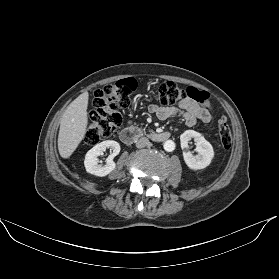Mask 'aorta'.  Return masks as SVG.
<instances>
[{"label": "aorta", "mask_w": 279, "mask_h": 279, "mask_svg": "<svg viewBox=\"0 0 279 279\" xmlns=\"http://www.w3.org/2000/svg\"><path fill=\"white\" fill-rule=\"evenodd\" d=\"M164 150L167 152H171L175 149V143L172 140H167L163 144Z\"/></svg>", "instance_id": "762f6f07"}]
</instances>
